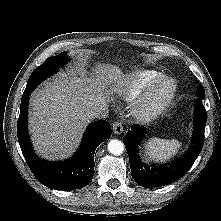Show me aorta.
<instances>
[{"label":"aorta","mask_w":221,"mask_h":221,"mask_svg":"<svg viewBox=\"0 0 221 221\" xmlns=\"http://www.w3.org/2000/svg\"><path fill=\"white\" fill-rule=\"evenodd\" d=\"M108 151L113 155H120L124 151V144L117 139H112L108 143Z\"/></svg>","instance_id":"1"}]
</instances>
